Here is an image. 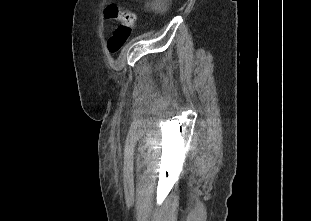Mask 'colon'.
<instances>
[{
  "mask_svg": "<svg viewBox=\"0 0 311 221\" xmlns=\"http://www.w3.org/2000/svg\"><path fill=\"white\" fill-rule=\"evenodd\" d=\"M104 16L110 20H118L120 18L121 21H130L131 18H136L133 12L121 11L119 2H115V0H108ZM131 30L130 26H126L123 29L119 28L112 32L107 40V50L110 54H116L123 48L128 41Z\"/></svg>",
  "mask_w": 311,
  "mask_h": 221,
  "instance_id": "colon-1",
  "label": "colon"
}]
</instances>
